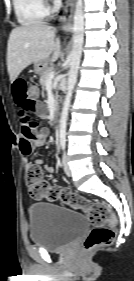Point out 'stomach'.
I'll return each instance as SVG.
<instances>
[{
	"mask_svg": "<svg viewBox=\"0 0 134 281\" xmlns=\"http://www.w3.org/2000/svg\"><path fill=\"white\" fill-rule=\"evenodd\" d=\"M47 67L46 61L36 62L34 64V70L36 73H41Z\"/></svg>",
	"mask_w": 134,
	"mask_h": 281,
	"instance_id": "stomach-1",
	"label": "stomach"
}]
</instances>
